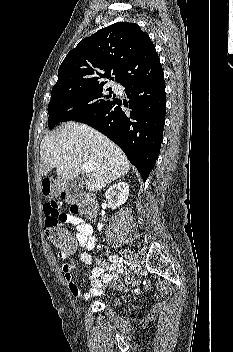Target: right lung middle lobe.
I'll return each mask as SVG.
<instances>
[{
  "label": "right lung middle lobe",
  "instance_id": "obj_1",
  "mask_svg": "<svg viewBox=\"0 0 233 352\" xmlns=\"http://www.w3.org/2000/svg\"><path fill=\"white\" fill-rule=\"evenodd\" d=\"M102 89L103 85L53 89L48 106L49 129H53L60 122L78 121L92 116L110 105L115 96L111 95V88H108L110 95L104 96L107 99H103Z\"/></svg>",
  "mask_w": 233,
  "mask_h": 352
}]
</instances>
